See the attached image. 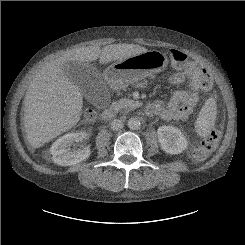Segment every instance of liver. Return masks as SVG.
Listing matches in <instances>:
<instances>
[{
  "instance_id": "1",
  "label": "liver",
  "mask_w": 245,
  "mask_h": 245,
  "mask_svg": "<svg viewBox=\"0 0 245 245\" xmlns=\"http://www.w3.org/2000/svg\"><path fill=\"white\" fill-rule=\"evenodd\" d=\"M148 51L134 44L87 46L66 52L47 63L31 81L24 98V128L33 148L70 130L80 120L83 96L79 87L65 73L69 62L101 63L119 61Z\"/></svg>"
}]
</instances>
